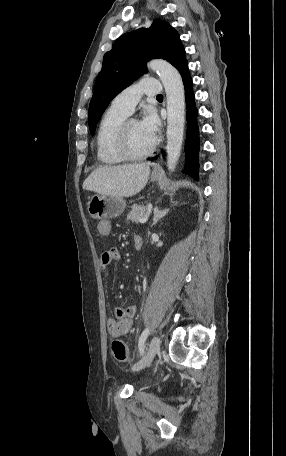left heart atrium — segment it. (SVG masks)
I'll use <instances>...</instances> for the list:
<instances>
[{"label":"left heart atrium","mask_w":286,"mask_h":456,"mask_svg":"<svg viewBox=\"0 0 286 456\" xmlns=\"http://www.w3.org/2000/svg\"><path fill=\"white\" fill-rule=\"evenodd\" d=\"M139 123L147 135L155 141L160 129V121L156 112L152 108H147L144 112L142 120Z\"/></svg>","instance_id":"1"}]
</instances>
